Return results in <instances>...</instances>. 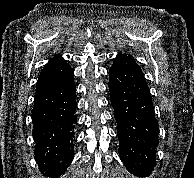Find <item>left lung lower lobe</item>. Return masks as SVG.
Returning a JSON list of instances; mask_svg holds the SVG:
<instances>
[{
	"mask_svg": "<svg viewBox=\"0 0 194 178\" xmlns=\"http://www.w3.org/2000/svg\"><path fill=\"white\" fill-rule=\"evenodd\" d=\"M109 91L118 124L120 158L132 174L147 177L156 165L159 129L140 66L118 55L109 70Z\"/></svg>",
	"mask_w": 194,
	"mask_h": 178,
	"instance_id": "0a47b994",
	"label": "left lung lower lobe"
}]
</instances>
